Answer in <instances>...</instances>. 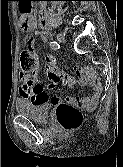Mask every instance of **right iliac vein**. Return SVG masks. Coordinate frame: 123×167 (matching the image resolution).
<instances>
[{
  "label": "right iliac vein",
  "instance_id": "obj_1",
  "mask_svg": "<svg viewBox=\"0 0 123 167\" xmlns=\"http://www.w3.org/2000/svg\"><path fill=\"white\" fill-rule=\"evenodd\" d=\"M56 37L60 43H65V38L62 34H57Z\"/></svg>",
  "mask_w": 123,
  "mask_h": 167
}]
</instances>
